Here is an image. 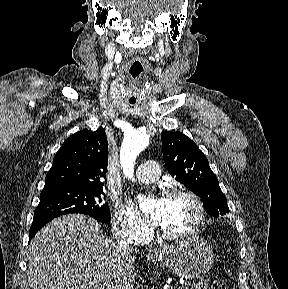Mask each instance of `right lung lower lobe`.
Wrapping results in <instances>:
<instances>
[{
	"mask_svg": "<svg viewBox=\"0 0 288 289\" xmlns=\"http://www.w3.org/2000/svg\"><path fill=\"white\" fill-rule=\"evenodd\" d=\"M53 218H37L33 220V223L30 228L29 240L49 221Z\"/></svg>",
	"mask_w": 288,
	"mask_h": 289,
	"instance_id": "98d812e1",
	"label": "right lung lower lobe"
}]
</instances>
